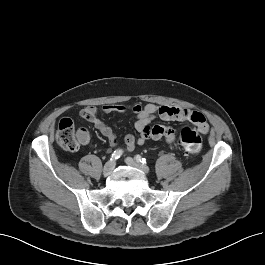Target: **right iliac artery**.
<instances>
[{
	"label": "right iliac artery",
	"instance_id": "1",
	"mask_svg": "<svg viewBox=\"0 0 265 265\" xmlns=\"http://www.w3.org/2000/svg\"><path fill=\"white\" fill-rule=\"evenodd\" d=\"M122 154H123V151L121 150V149H117V150H115L113 153H112V155H111V160H117V159H119L121 156H122Z\"/></svg>",
	"mask_w": 265,
	"mask_h": 265
}]
</instances>
